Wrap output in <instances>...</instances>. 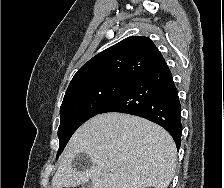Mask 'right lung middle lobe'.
Instances as JSON below:
<instances>
[{
  "label": "right lung middle lobe",
  "instance_id": "1",
  "mask_svg": "<svg viewBox=\"0 0 224 188\" xmlns=\"http://www.w3.org/2000/svg\"><path fill=\"white\" fill-rule=\"evenodd\" d=\"M134 79L103 78L67 88L60 107V141L57 158L62 153L72 134L85 121L97 115L118 94L125 90Z\"/></svg>",
  "mask_w": 224,
  "mask_h": 188
}]
</instances>
